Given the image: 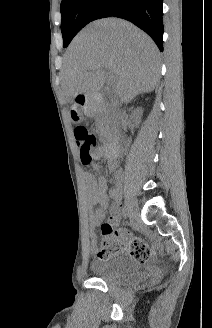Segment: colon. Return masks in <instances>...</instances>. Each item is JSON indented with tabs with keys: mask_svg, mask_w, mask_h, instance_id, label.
<instances>
[{
	"mask_svg": "<svg viewBox=\"0 0 212 328\" xmlns=\"http://www.w3.org/2000/svg\"><path fill=\"white\" fill-rule=\"evenodd\" d=\"M75 139L79 148L80 159L83 165L91 164L97 148L96 137L89 132L85 125L79 124L74 130ZM103 240L99 249V255L107 258L114 251L117 243V235L108 224L101 226ZM150 256L149 251H145L140 261H145Z\"/></svg>",
	"mask_w": 212,
	"mask_h": 328,
	"instance_id": "5ec220e1",
	"label": "colon"
}]
</instances>
